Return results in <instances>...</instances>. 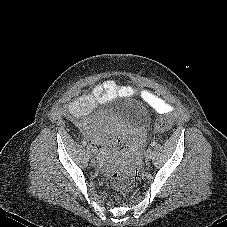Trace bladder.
<instances>
[{
	"label": "bladder",
	"mask_w": 227,
	"mask_h": 227,
	"mask_svg": "<svg viewBox=\"0 0 227 227\" xmlns=\"http://www.w3.org/2000/svg\"><path fill=\"white\" fill-rule=\"evenodd\" d=\"M95 121L105 118H112L118 121L128 122L143 130H147L151 125V119L144 110H140L126 101L118 103H107L98 107L92 114Z\"/></svg>",
	"instance_id": "obj_1"
}]
</instances>
